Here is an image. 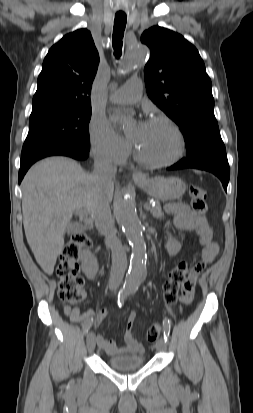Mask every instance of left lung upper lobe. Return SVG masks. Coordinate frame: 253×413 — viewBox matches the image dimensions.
<instances>
[{
	"mask_svg": "<svg viewBox=\"0 0 253 413\" xmlns=\"http://www.w3.org/2000/svg\"><path fill=\"white\" fill-rule=\"evenodd\" d=\"M151 51L144 68L149 98L175 121L186 142V158L202 160L226 152L214 116L212 84L197 49L182 35L154 26L141 36Z\"/></svg>",
	"mask_w": 253,
	"mask_h": 413,
	"instance_id": "left-lung-upper-lobe-1",
	"label": "left lung upper lobe"
}]
</instances>
